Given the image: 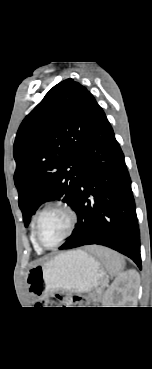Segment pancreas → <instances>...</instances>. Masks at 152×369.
Here are the masks:
<instances>
[{"label":"pancreas","instance_id":"obj_1","mask_svg":"<svg viewBox=\"0 0 152 369\" xmlns=\"http://www.w3.org/2000/svg\"><path fill=\"white\" fill-rule=\"evenodd\" d=\"M101 298V292L100 291H97L96 293H93L92 294V300L93 301H97Z\"/></svg>","mask_w":152,"mask_h":369}]
</instances>
